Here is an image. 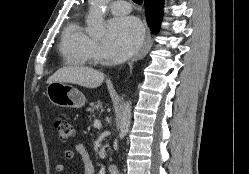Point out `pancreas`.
Instances as JSON below:
<instances>
[{"label":"pancreas","mask_w":249,"mask_h":174,"mask_svg":"<svg viewBox=\"0 0 249 174\" xmlns=\"http://www.w3.org/2000/svg\"><path fill=\"white\" fill-rule=\"evenodd\" d=\"M87 110L90 111V116H95L96 111H100V113L102 112L103 106L98 100L97 102L90 103V107Z\"/></svg>","instance_id":"cf45deb5"}]
</instances>
